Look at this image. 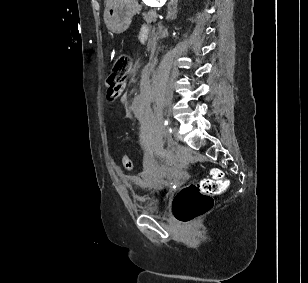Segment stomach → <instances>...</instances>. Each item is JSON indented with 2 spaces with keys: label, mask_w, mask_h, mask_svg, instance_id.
I'll return each instance as SVG.
<instances>
[{
  "label": "stomach",
  "mask_w": 308,
  "mask_h": 283,
  "mask_svg": "<svg viewBox=\"0 0 308 283\" xmlns=\"http://www.w3.org/2000/svg\"><path fill=\"white\" fill-rule=\"evenodd\" d=\"M141 6L137 0H117L104 11V22L112 33L120 34L128 29L132 17L138 14Z\"/></svg>",
  "instance_id": "0dacf381"
}]
</instances>
